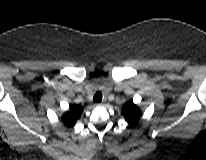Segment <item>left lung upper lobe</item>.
Instances as JSON below:
<instances>
[{"label": "left lung upper lobe", "mask_w": 206, "mask_h": 160, "mask_svg": "<svg viewBox=\"0 0 206 160\" xmlns=\"http://www.w3.org/2000/svg\"><path fill=\"white\" fill-rule=\"evenodd\" d=\"M121 113L129 124H135L142 115L139 107L133 104L132 101L123 106Z\"/></svg>", "instance_id": "obj_1"}]
</instances>
